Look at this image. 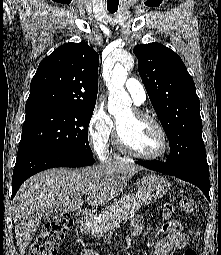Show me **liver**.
<instances>
[{
  "label": "liver",
  "mask_w": 221,
  "mask_h": 255,
  "mask_svg": "<svg viewBox=\"0 0 221 255\" xmlns=\"http://www.w3.org/2000/svg\"><path fill=\"white\" fill-rule=\"evenodd\" d=\"M140 170V166L129 162H105L76 170L53 168L29 178L14 197L13 205L20 255H24L47 211H76L84 203L82 196H88V203H106L123 192Z\"/></svg>",
  "instance_id": "obj_1"
}]
</instances>
